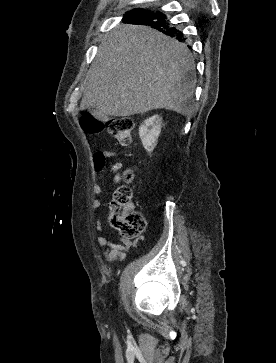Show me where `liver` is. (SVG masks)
I'll return each instance as SVG.
<instances>
[{"label": "liver", "mask_w": 276, "mask_h": 363, "mask_svg": "<svg viewBox=\"0 0 276 363\" xmlns=\"http://www.w3.org/2000/svg\"><path fill=\"white\" fill-rule=\"evenodd\" d=\"M195 62L186 45L147 26L122 24L101 41L80 110L126 117L168 109L190 117ZM191 74V75H190Z\"/></svg>", "instance_id": "1"}]
</instances>
